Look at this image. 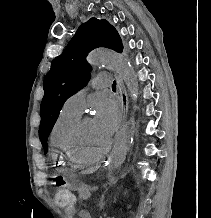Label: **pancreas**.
Listing matches in <instances>:
<instances>
[{
	"mask_svg": "<svg viewBox=\"0 0 211 218\" xmlns=\"http://www.w3.org/2000/svg\"><path fill=\"white\" fill-rule=\"evenodd\" d=\"M78 194L79 198L81 200H87V198H90V186H81V188H78Z\"/></svg>",
	"mask_w": 211,
	"mask_h": 218,
	"instance_id": "cf45deb5",
	"label": "pancreas"
}]
</instances>
